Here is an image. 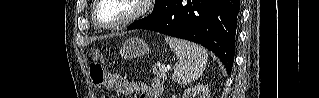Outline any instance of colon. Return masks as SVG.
<instances>
[{
    "label": "colon",
    "instance_id": "1",
    "mask_svg": "<svg viewBox=\"0 0 319 98\" xmlns=\"http://www.w3.org/2000/svg\"><path fill=\"white\" fill-rule=\"evenodd\" d=\"M92 57L94 62L90 66V75L93 83L98 87H104L107 82L108 75L105 72L103 66L100 64L99 60L102 58V54L98 50L92 51ZM103 98H108L107 95H103Z\"/></svg>",
    "mask_w": 319,
    "mask_h": 98
}]
</instances>
